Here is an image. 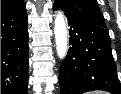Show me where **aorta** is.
<instances>
[{
	"instance_id": "1",
	"label": "aorta",
	"mask_w": 121,
	"mask_h": 94,
	"mask_svg": "<svg viewBox=\"0 0 121 94\" xmlns=\"http://www.w3.org/2000/svg\"><path fill=\"white\" fill-rule=\"evenodd\" d=\"M54 34L57 54L60 59H63L68 50V33L64 15L58 11L55 17Z\"/></svg>"
}]
</instances>
